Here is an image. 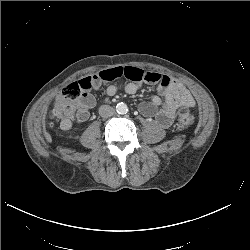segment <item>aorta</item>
<instances>
[{
	"instance_id": "1",
	"label": "aorta",
	"mask_w": 250,
	"mask_h": 250,
	"mask_svg": "<svg viewBox=\"0 0 250 250\" xmlns=\"http://www.w3.org/2000/svg\"><path fill=\"white\" fill-rule=\"evenodd\" d=\"M116 111L119 114H126L128 111V107L125 103L120 102L116 105Z\"/></svg>"
}]
</instances>
